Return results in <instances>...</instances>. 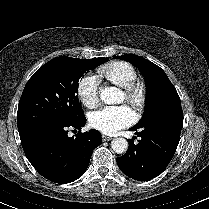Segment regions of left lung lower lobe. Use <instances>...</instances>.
<instances>
[{
    "instance_id": "obj_1",
    "label": "left lung lower lobe",
    "mask_w": 209,
    "mask_h": 209,
    "mask_svg": "<svg viewBox=\"0 0 209 209\" xmlns=\"http://www.w3.org/2000/svg\"><path fill=\"white\" fill-rule=\"evenodd\" d=\"M183 127V117L159 118L130 130L141 137L138 144L129 140L126 154L117 158L119 169L138 181L150 180L161 174L171 161Z\"/></svg>"
}]
</instances>
